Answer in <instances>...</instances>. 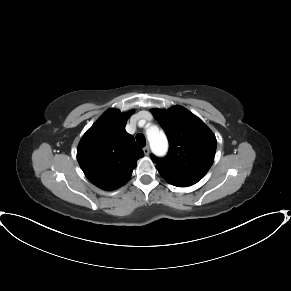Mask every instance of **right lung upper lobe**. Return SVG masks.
<instances>
[{
	"instance_id": "right-lung-upper-lobe-1",
	"label": "right lung upper lobe",
	"mask_w": 291,
	"mask_h": 291,
	"mask_svg": "<svg viewBox=\"0 0 291 291\" xmlns=\"http://www.w3.org/2000/svg\"><path fill=\"white\" fill-rule=\"evenodd\" d=\"M129 113L106 111L83 135L77 159L86 177L97 187L112 191L131 177L136 162L144 156L132 135L125 130Z\"/></svg>"
}]
</instances>
